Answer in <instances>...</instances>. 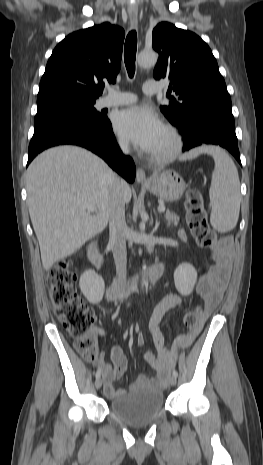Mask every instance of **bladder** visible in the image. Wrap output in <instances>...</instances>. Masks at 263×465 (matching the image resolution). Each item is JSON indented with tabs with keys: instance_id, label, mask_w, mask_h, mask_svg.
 Masks as SVG:
<instances>
[{
	"instance_id": "obj_1",
	"label": "bladder",
	"mask_w": 263,
	"mask_h": 465,
	"mask_svg": "<svg viewBox=\"0 0 263 465\" xmlns=\"http://www.w3.org/2000/svg\"><path fill=\"white\" fill-rule=\"evenodd\" d=\"M164 407L163 393L152 387H136L125 391L109 403V411L131 427H145L153 423Z\"/></svg>"
}]
</instances>
